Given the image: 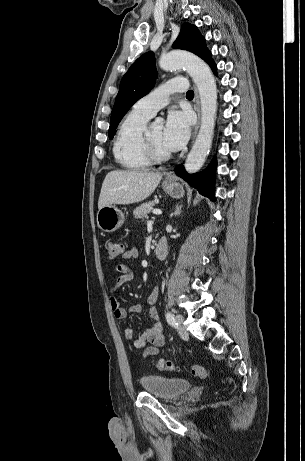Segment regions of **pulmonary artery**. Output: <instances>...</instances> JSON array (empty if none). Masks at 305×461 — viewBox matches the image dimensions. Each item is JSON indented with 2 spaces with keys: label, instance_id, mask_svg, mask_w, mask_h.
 <instances>
[{
  "label": "pulmonary artery",
  "instance_id": "obj_1",
  "mask_svg": "<svg viewBox=\"0 0 305 461\" xmlns=\"http://www.w3.org/2000/svg\"><path fill=\"white\" fill-rule=\"evenodd\" d=\"M186 89V79L172 78L139 99L134 104L133 110L152 117L159 109L168 104L170 94L184 92Z\"/></svg>",
  "mask_w": 305,
  "mask_h": 461
}]
</instances>
